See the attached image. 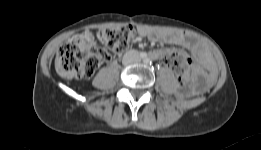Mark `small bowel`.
I'll list each match as a JSON object with an SVG mask.
<instances>
[{
    "label": "small bowel",
    "mask_w": 261,
    "mask_h": 150,
    "mask_svg": "<svg viewBox=\"0 0 261 150\" xmlns=\"http://www.w3.org/2000/svg\"><path fill=\"white\" fill-rule=\"evenodd\" d=\"M140 36L147 37L151 42L154 43H163V44H170V45H178L183 48H186L192 52L195 58L200 62V64L207 70L208 77H211L214 73V65L213 61L207 51L206 47L202 45L200 42L184 36L180 34H172L163 31L157 30H149L146 28H142L139 30ZM170 50L163 49V50H154L151 51L149 54L154 59L163 60L164 56ZM196 73L200 74L201 69L199 67L195 68ZM200 86L204 85L202 80L198 81Z\"/></svg>",
    "instance_id": "obj_1"
}]
</instances>
